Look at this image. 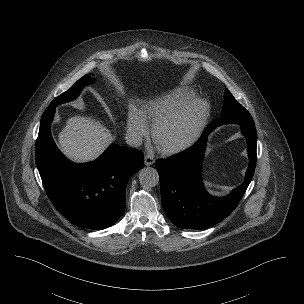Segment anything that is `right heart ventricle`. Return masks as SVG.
Returning <instances> with one entry per match:
<instances>
[{
  "label": "right heart ventricle",
  "mask_w": 304,
  "mask_h": 304,
  "mask_svg": "<svg viewBox=\"0 0 304 304\" xmlns=\"http://www.w3.org/2000/svg\"><path fill=\"white\" fill-rule=\"evenodd\" d=\"M194 97L195 93L193 90L178 88L163 97L148 102L142 107L140 113L145 119L155 123Z\"/></svg>",
  "instance_id": "1"
}]
</instances>
